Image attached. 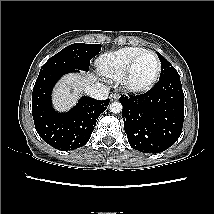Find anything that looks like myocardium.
Masks as SVG:
<instances>
[{"instance_id":"obj_1","label":"myocardium","mask_w":214,"mask_h":214,"mask_svg":"<svg viewBox=\"0 0 214 214\" xmlns=\"http://www.w3.org/2000/svg\"><path fill=\"white\" fill-rule=\"evenodd\" d=\"M146 54L153 55L156 59L157 68H156L155 74L153 75V77L150 80H148L145 83H142V84L134 83L133 79H132L134 68H135L136 64L139 62V60ZM160 73H161V60H160L159 56L154 51L144 50L130 62V64L126 68V70L121 78V84H122L124 90H126L127 92L135 93V94L143 93V92L150 90L155 85V83L157 82V80L160 77Z\"/></svg>"}]
</instances>
